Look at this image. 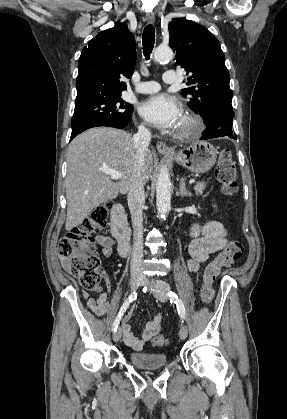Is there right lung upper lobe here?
Instances as JSON below:
<instances>
[{
    "mask_svg": "<svg viewBox=\"0 0 287 419\" xmlns=\"http://www.w3.org/2000/svg\"><path fill=\"white\" fill-rule=\"evenodd\" d=\"M135 60V40L125 23L98 33L79 58L75 107L121 96V79L132 76Z\"/></svg>",
    "mask_w": 287,
    "mask_h": 419,
    "instance_id": "right-lung-upper-lobe-1",
    "label": "right lung upper lobe"
}]
</instances>
